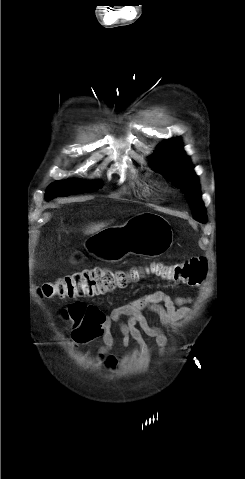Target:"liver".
I'll return each mask as SVG.
<instances>
[{
    "label": "liver",
    "instance_id": "liver-1",
    "mask_svg": "<svg viewBox=\"0 0 245 479\" xmlns=\"http://www.w3.org/2000/svg\"><path fill=\"white\" fill-rule=\"evenodd\" d=\"M105 227V224L103 223H100V224H97V225H93L91 226V228L89 230H87L85 233L86 234H93L95 232H98L100 231L102 228Z\"/></svg>",
    "mask_w": 245,
    "mask_h": 479
}]
</instances>
